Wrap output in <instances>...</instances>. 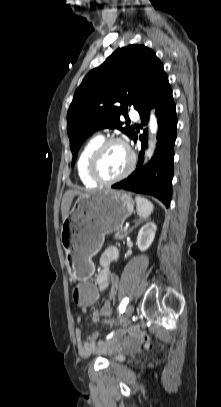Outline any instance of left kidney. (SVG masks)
Instances as JSON below:
<instances>
[{"instance_id": "5707ae66", "label": "left kidney", "mask_w": 221, "mask_h": 407, "mask_svg": "<svg viewBox=\"0 0 221 407\" xmlns=\"http://www.w3.org/2000/svg\"><path fill=\"white\" fill-rule=\"evenodd\" d=\"M156 229L154 222H147L141 227L137 236V246L141 251H145L150 247L155 238Z\"/></svg>"}]
</instances>
